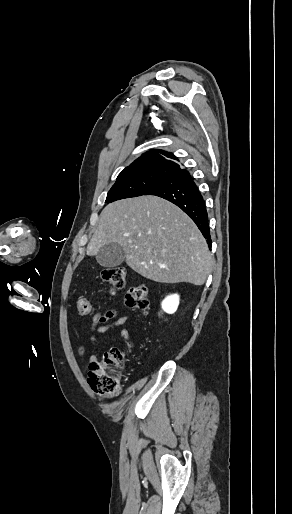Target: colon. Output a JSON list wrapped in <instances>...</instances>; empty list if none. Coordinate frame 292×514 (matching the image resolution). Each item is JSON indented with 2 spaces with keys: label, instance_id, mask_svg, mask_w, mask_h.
<instances>
[{
  "label": "colon",
  "instance_id": "5ec220e1",
  "mask_svg": "<svg viewBox=\"0 0 292 514\" xmlns=\"http://www.w3.org/2000/svg\"><path fill=\"white\" fill-rule=\"evenodd\" d=\"M126 269L110 267L101 271L100 278L106 287L112 291H120L125 287ZM127 305L136 310H147L150 304L149 288L140 283L131 286L126 294ZM78 312L89 316L94 312V304L86 296H81L77 302ZM125 353L118 348H112L103 353L98 362L89 365L87 381L90 388L104 399L113 400L121 393V382L118 374L125 362Z\"/></svg>",
  "mask_w": 292,
  "mask_h": 514
}]
</instances>
